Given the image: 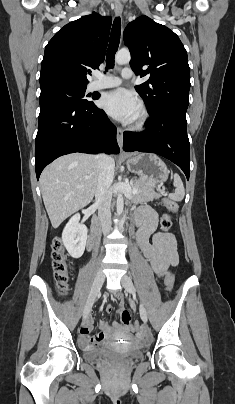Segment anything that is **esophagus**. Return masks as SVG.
Returning <instances> with one entry per match:
<instances>
[{"instance_id":"esophagus-1","label":"esophagus","mask_w":235,"mask_h":404,"mask_svg":"<svg viewBox=\"0 0 235 404\" xmlns=\"http://www.w3.org/2000/svg\"><path fill=\"white\" fill-rule=\"evenodd\" d=\"M122 10H123L122 5L120 3H115L114 11L117 16H120L122 14ZM117 142H118L120 149L122 150V148H123V130L120 127H117Z\"/></svg>"}]
</instances>
